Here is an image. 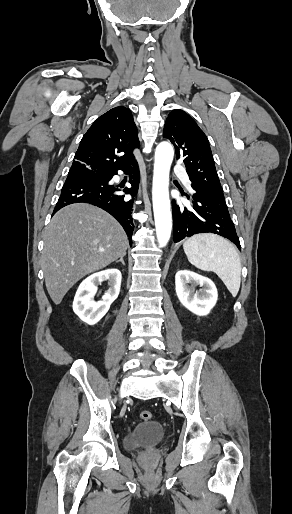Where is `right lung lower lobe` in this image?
Returning a JSON list of instances; mask_svg holds the SVG:
<instances>
[{
	"label": "right lung lower lobe",
	"mask_w": 292,
	"mask_h": 514,
	"mask_svg": "<svg viewBox=\"0 0 292 514\" xmlns=\"http://www.w3.org/2000/svg\"><path fill=\"white\" fill-rule=\"evenodd\" d=\"M121 170L126 173H133L129 180L131 187H125L122 191L125 194L134 195L140 180L137 162ZM116 174L117 171L102 175L69 174L61 190V195L53 215L59 209L72 203L84 202L93 204L107 211L118 220L129 236L131 243V236L134 230L131 212L134 200L125 198V195L118 193L121 191L118 186L108 183Z\"/></svg>",
	"instance_id": "98d812e1"
}]
</instances>
